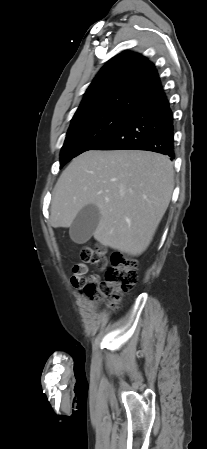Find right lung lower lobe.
I'll list each match as a JSON object with an SVG mask.
<instances>
[{
	"mask_svg": "<svg viewBox=\"0 0 207 449\" xmlns=\"http://www.w3.org/2000/svg\"><path fill=\"white\" fill-rule=\"evenodd\" d=\"M173 113L167 96L135 111L118 130L92 150H147L175 158Z\"/></svg>",
	"mask_w": 207,
	"mask_h": 449,
	"instance_id": "right-lung-lower-lobe-1",
	"label": "right lung lower lobe"
}]
</instances>
